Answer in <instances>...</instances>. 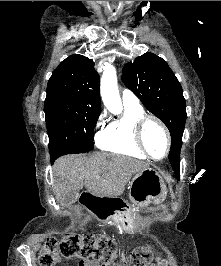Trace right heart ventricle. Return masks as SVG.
<instances>
[{
  "label": "right heart ventricle",
  "mask_w": 221,
  "mask_h": 266,
  "mask_svg": "<svg viewBox=\"0 0 221 266\" xmlns=\"http://www.w3.org/2000/svg\"><path fill=\"white\" fill-rule=\"evenodd\" d=\"M142 115H144V111L141 106H125L124 115L109 122L105 129L98 134V147L107 152L146 159L147 156L134 139V123Z\"/></svg>",
  "instance_id": "1"
}]
</instances>
